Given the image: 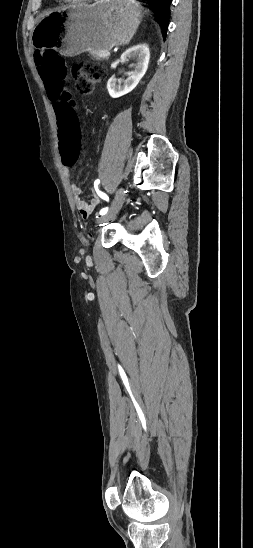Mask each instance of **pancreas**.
I'll return each instance as SVG.
<instances>
[{"mask_svg":"<svg viewBox=\"0 0 253 548\" xmlns=\"http://www.w3.org/2000/svg\"><path fill=\"white\" fill-rule=\"evenodd\" d=\"M90 53L99 60H105L109 58V52L106 50H91Z\"/></svg>","mask_w":253,"mask_h":548,"instance_id":"pancreas-1","label":"pancreas"}]
</instances>
